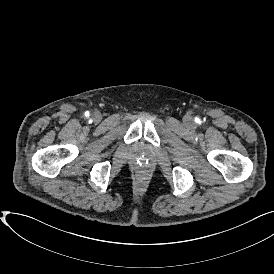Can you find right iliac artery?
<instances>
[{
	"label": "right iliac artery",
	"instance_id": "1",
	"mask_svg": "<svg viewBox=\"0 0 274 274\" xmlns=\"http://www.w3.org/2000/svg\"><path fill=\"white\" fill-rule=\"evenodd\" d=\"M85 115H86V116H89V112H86Z\"/></svg>",
	"mask_w": 274,
	"mask_h": 274
}]
</instances>
